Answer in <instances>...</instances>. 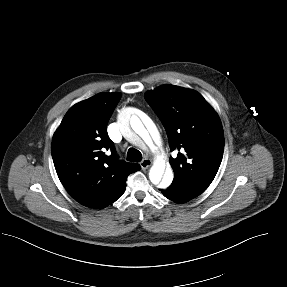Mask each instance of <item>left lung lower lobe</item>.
<instances>
[{"label": "left lung lower lobe", "instance_id": "1", "mask_svg": "<svg viewBox=\"0 0 287 287\" xmlns=\"http://www.w3.org/2000/svg\"><path fill=\"white\" fill-rule=\"evenodd\" d=\"M160 191L165 197L176 203H184L197 197V195L175 183H172L167 189H160Z\"/></svg>", "mask_w": 287, "mask_h": 287}]
</instances>
